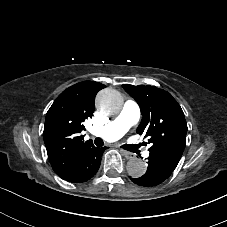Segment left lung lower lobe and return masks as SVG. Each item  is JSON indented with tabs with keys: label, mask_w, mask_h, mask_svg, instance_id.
Instances as JSON below:
<instances>
[{
	"label": "left lung lower lobe",
	"mask_w": 227,
	"mask_h": 227,
	"mask_svg": "<svg viewBox=\"0 0 227 227\" xmlns=\"http://www.w3.org/2000/svg\"><path fill=\"white\" fill-rule=\"evenodd\" d=\"M176 166L170 162L149 156L148 169L146 173L137 179L131 178V180L141 186L150 187L156 186L165 181L171 173L174 171Z\"/></svg>",
	"instance_id": "left-lung-lower-lobe-1"
}]
</instances>
